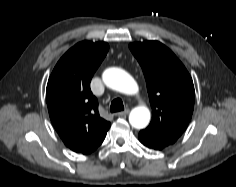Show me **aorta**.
I'll list each match as a JSON object with an SVG mask.
<instances>
[{"instance_id": "aorta-1", "label": "aorta", "mask_w": 236, "mask_h": 187, "mask_svg": "<svg viewBox=\"0 0 236 187\" xmlns=\"http://www.w3.org/2000/svg\"><path fill=\"white\" fill-rule=\"evenodd\" d=\"M105 85L126 95H136L138 85L136 81L120 68H108L102 75ZM150 121V111L146 106L134 108L129 115L130 124L137 129L145 128Z\"/></svg>"}]
</instances>
